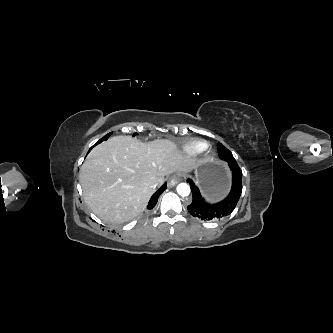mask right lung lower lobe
<instances>
[{"instance_id": "obj_1", "label": "right lung lower lobe", "mask_w": 333, "mask_h": 333, "mask_svg": "<svg viewBox=\"0 0 333 333\" xmlns=\"http://www.w3.org/2000/svg\"><path fill=\"white\" fill-rule=\"evenodd\" d=\"M101 140H99L95 145H97L99 142H100ZM94 145V146H95ZM93 146V147H94ZM92 147V148H93ZM91 148V149H92ZM90 149V150H91ZM167 188V186H166V184H164L155 194H153V196L151 197V199H150V201H149V203H148V206H147V208L150 210V209H152L155 205H156V203H157V201H158V198H159V196H160V194L165 190Z\"/></svg>"}]
</instances>
